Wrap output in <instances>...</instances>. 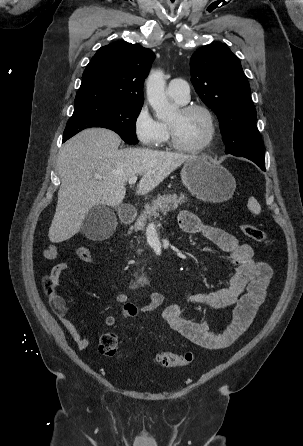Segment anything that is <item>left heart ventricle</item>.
Masks as SVG:
<instances>
[{
  "instance_id": "obj_1",
  "label": "left heart ventricle",
  "mask_w": 303,
  "mask_h": 446,
  "mask_svg": "<svg viewBox=\"0 0 303 446\" xmlns=\"http://www.w3.org/2000/svg\"><path fill=\"white\" fill-rule=\"evenodd\" d=\"M168 123L174 127L178 141L185 146L201 144L209 133L207 119L200 111L182 114L177 110Z\"/></svg>"
}]
</instances>
